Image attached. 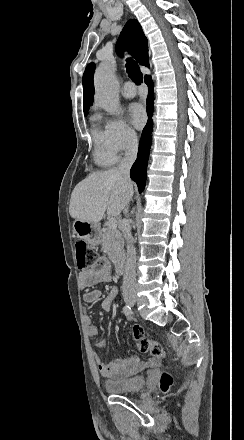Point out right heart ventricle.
Masks as SVG:
<instances>
[{"mask_svg":"<svg viewBox=\"0 0 244 440\" xmlns=\"http://www.w3.org/2000/svg\"><path fill=\"white\" fill-rule=\"evenodd\" d=\"M98 116L93 115L91 116V124H92V135L93 139L96 143V153H95V159L98 164L108 166L116 163L118 161V156L116 153H113L109 151L106 147L105 150H100L99 146L105 145V136L104 132H102L98 127Z\"/></svg>","mask_w":244,"mask_h":440,"instance_id":"right-heart-ventricle-1","label":"right heart ventricle"}]
</instances>
